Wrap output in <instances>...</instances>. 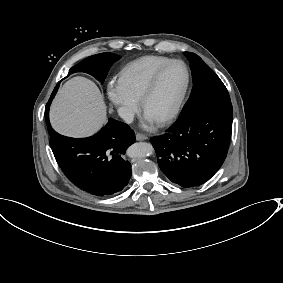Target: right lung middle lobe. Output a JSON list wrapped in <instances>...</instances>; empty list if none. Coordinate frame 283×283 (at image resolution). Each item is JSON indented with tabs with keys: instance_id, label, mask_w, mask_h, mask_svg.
I'll return each mask as SVG.
<instances>
[{
	"instance_id": "dd1d6c3e",
	"label": "right lung middle lobe",
	"mask_w": 283,
	"mask_h": 283,
	"mask_svg": "<svg viewBox=\"0 0 283 283\" xmlns=\"http://www.w3.org/2000/svg\"><path fill=\"white\" fill-rule=\"evenodd\" d=\"M120 58L121 56L113 53H100L87 57L73 66L67 76L75 72H85L103 83L112 64Z\"/></svg>"
}]
</instances>
